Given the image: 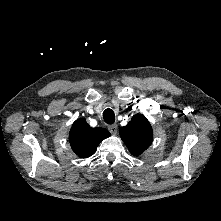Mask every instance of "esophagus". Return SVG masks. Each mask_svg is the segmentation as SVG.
I'll list each match as a JSON object with an SVG mask.
<instances>
[{
    "instance_id": "1",
    "label": "esophagus",
    "mask_w": 221,
    "mask_h": 221,
    "mask_svg": "<svg viewBox=\"0 0 221 221\" xmlns=\"http://www.w3.org/2000/svg\"><path fill=\"white\" fill-rule=\"evenodd\" d=\"M108 130L112 133V134H116L117 133V125L116 124H111L108 126Z\"/></svg>"
}]
</instances>
